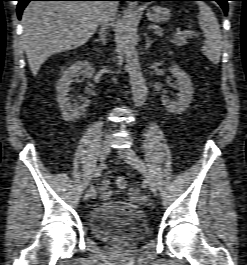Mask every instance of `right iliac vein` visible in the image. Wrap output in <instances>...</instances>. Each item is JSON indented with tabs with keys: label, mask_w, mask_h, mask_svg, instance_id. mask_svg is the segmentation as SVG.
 Masks as SVG:
<instances>
[{
	"label": "right iliac vein",
	"mask_w": 247,
	"mask_h": 265,
	"mask_svg": "<svg viewBox=\"0 0 247 265\" xmlns=\"http://www.w3.org/2000/svg\"><path fill=\"white\" fill-rule=\"evenodd\" d=\"M109 153H110V143H109V141H106V142H104V144L102 145L101 150H100V154H99L100 162L103 163L107 159ZM90 197H91L90 191L88 190L85 194V198L88 199Z\"/></svg>",
	"instance_id": "1"
}]
</instances>
